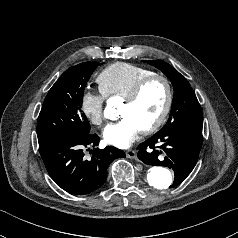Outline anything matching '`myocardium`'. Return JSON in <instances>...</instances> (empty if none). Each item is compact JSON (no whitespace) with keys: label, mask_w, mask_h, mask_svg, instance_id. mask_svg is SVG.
Wrapping results in <instances>:
<instances>
[{"label":"myocardium","mask_w":238,"mask_h":238,"mask_svg":"<svg viewBox=\"0 0 238 238\" xmlns=\"http://www.w3.org/2000/svg\"><path fill=\"white\" fill-rule=\"evenodd\" d=\"M154 81H160L163 83L165 90H166V100L164 107L160 113V115L157 117V119L151 123L149 126L141 129V132L143 134H150L154 131H156L166 120V118L169 115V112L172 107L173 103V89L171 82L169 79L163 75L159 74H153L150 75L141 81H139L133 90L130 92V94L124 99V103L126 104H134L142 95L143 91L146 89V87L151 84Z\"/></svg>","instance_id":"f54148a6"}]
</instances>
